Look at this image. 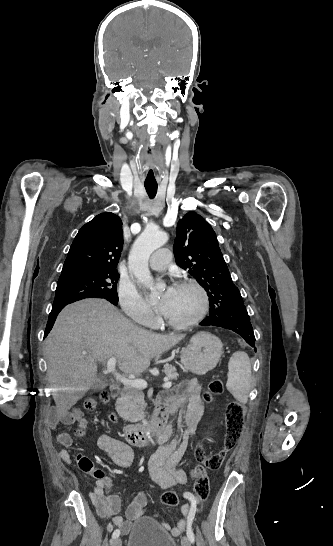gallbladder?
Masks as SVG:
<instances>
[{"mask_svg":"<svg viewBox=\"0 0 333 546\" xmlns=\"http://www.w3.org/2000/svg\"><path fill=\"white\" fill-rule=\"evenodd\" d=\"M106 381L102 378H99L95 384L93 385L92 389L95 391V390H99V389H102V388H105L106 387Z\"/></svg>","mask_w":333,"mask_h":546,"instance_id":"obj_1","label":"gallbladder"}]
</instances>
